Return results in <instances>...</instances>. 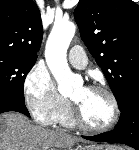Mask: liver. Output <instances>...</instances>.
<instances>
[{
	"mask_svg": "<svg viewBox=\"0 0 139 150\" xmlns=\"http://www.w3.org/2000/svg\"><path fill=\"white\" fill-rule=\"evenodd\" d=\"M81 141L60 131L35 126L18 113L0 115V150H65Z\"/></svg>",
	"mask_w": 139,
	"mask_h": 150,
	"instance_id": "1",
	"label": "liver"
}]
</instances>
